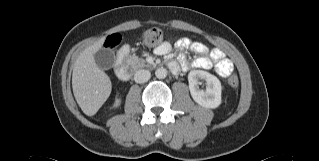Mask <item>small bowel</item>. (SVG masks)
Returning <instances> with one entry per match:
<instances>
[{
	"label": "small bowel",
	"instance_id": "obj_1",
	"mask_svg": "<svg viewBox=\"0 0 319 161\" xmlns=\"http://www.w3.org/2000/svg\"><path fill=\"white\" fill-rule=\"evenodd\" d=\"M177 48L182 52L179 56V64H176V69L173 72H178L180 68L187 70L190 67L210 69L215 68L217 74L222 78L229 77L234 72V65L230 59H228L224 52L220 49L209 48L201 42H192L189 38L183 37L177 41ZM171 46L168 42L161 43L155 52L158 55H167L170 52ZM190 49L195 54L207 55L200 56L189 62L183 53L185 50Z\"/></svg>",
	"mask_w": 319,
	"mask_h": 161
}]
</instances>
